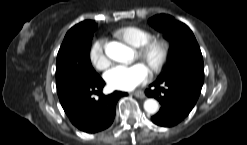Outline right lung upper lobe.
I'll list each match as a JSON object with an SVG mask.
<instances>
[{
	"instance_id": "cb5924a9",
	"label": "right lung upper lobe",
	"mask_w": 247,
	"mask_h": 145,
	"mask_svg": "<svg viewBox=\"0 0 247 145\" xmlns=\"http://www.w3.org/2000/svg\"><path fill=\"white\" fill-rule=\"evenodd\" d=\"M96 24L94 21H83L77 25H75L74 27H72L69 31H76V30H81V29H90V28H96Z\"/></svg>"
}]
</instances>
